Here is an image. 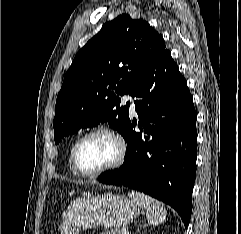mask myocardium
<instances>
[{
  "mask_svg": "<svg viewBox=\"0 0 241 234\" xmlns=\"http://www.w3.org/2000/svg\"><path fill=\"white\" fill-rule=\"evenodd\" d=\"M97 134H106L108 136H110L116 143L117 145V156L114 159L113 162H111L110 164L92 171V172H86L83 171L78 164V150L79 147L81 146V144L88 139L91 136L97 135ZM127 154V146L126 143L123 139V137L116 132L115 130L106 127V126H100V127H96L88 132H86L85 134H83L73 145L72 148V152H71V163H72V167L74 169V171L76 172L77 175L82 176V177H87V178H92V177H97L103 173L109 172L111 170H114L116 168H118L125 160Z\"/></svg>",
  "mask_w": 241,
  "mask_h": 234,
  "instance_id": "1",
  "label": "myocardium"
}]
</instances>
